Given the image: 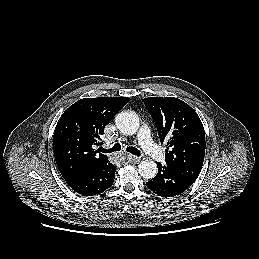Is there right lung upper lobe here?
Returning a JSON list of instances; mask_svg holds the SVG:
<instances>
[{
  "label": "right lung upper lobe",
  "instance_id": "obj_1",
  "mask_svg": "<svg viewBox=\"0 0 259 259\" xmlns=\"http://www.w3.org/2000/svg\"><path fill=\"white\" fill-rule=\"evenodd\" d=\"M129 101L127 97L84 98L61 115L54 131L53 152L65 180L109 162L94 148L102 144L105 126Z\"/></svg>",
  "mask_w": 259,
  "mask_h": 259
}]
</instances>
